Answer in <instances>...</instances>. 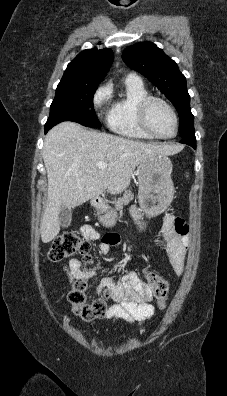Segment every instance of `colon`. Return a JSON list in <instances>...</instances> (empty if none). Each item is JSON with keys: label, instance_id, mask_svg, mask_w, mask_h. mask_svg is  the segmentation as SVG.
Listing matches in <instances>:
<instances>
[{"label": "colon", "instance_id": "colon-1", "mask_svg": "<svg viewBox=\"0 0 227 396\" xmlns=\"http://www.w3.org/2000/svg\"><path fill=\"white\" fill-rule=\"evenodd\" d=\"M90 243L75 233H66L56 238L48 252L49 259L59 262L74 255H80L85 263L91 261ZM146 281L154 288V297L160 309L165 307L169 294V283L153 271L145 272ZM88 282L84 278L75 279L68 295L74 313L84 321H92L104 317L108 310V299L111 294L103 293L102 296L87 302L86 291Z\"/></svg>", "mask_w": 227, "mask_h": 396}]
</instances>
